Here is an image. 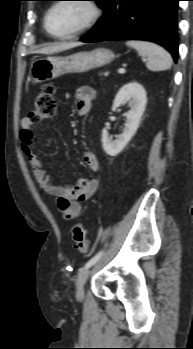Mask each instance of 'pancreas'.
Instances as JSON below:
<instances>
[{
  "mask_svg": "<svg viewBox=\"0 0 193 349\" xmlns=\"http://www.w3.org/2000/svg\"><path fill=\"white\" fill-rule=\"evenodd\" d=\"M108 74H109V72H108V71H106V72L104 73V75H105V76H108Z\"/></svg>",
  "mask_w": 193,
  "mask_h": 349,
  "instance_id": "pancreas-1",
  "label": "pancreas"
}]
</instances>
